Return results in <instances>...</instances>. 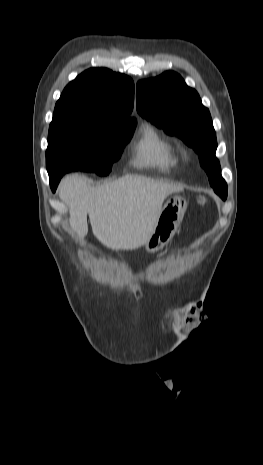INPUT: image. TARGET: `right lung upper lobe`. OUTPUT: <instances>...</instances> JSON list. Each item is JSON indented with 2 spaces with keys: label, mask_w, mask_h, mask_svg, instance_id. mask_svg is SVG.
Masks as SVG:
<instances>
[{
  "label": "right lung upper lobe",
  "mask_w": 263,
  "mask_h": 465,
  "mask_svg": "<svg viewBox=\"0 0 263 465\" xmlns=\"http://www.w3.org/2000/svg\"><path fill=\"white\" fill-rule=\"evenodd\" d=\"M134 83L107 68H91L63 90L54 111L77 110L136 120L130 116Z\"/></svg>",
  "instance_id": "right-lung-upper-lobe-1"
}]
</instances>
